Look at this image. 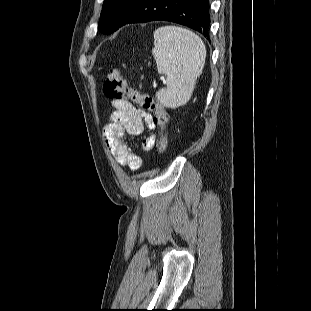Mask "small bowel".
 I'll list each match as a JSON object with an SVG mask.
<instances>
[{
    "instance_id": "c3829d8e",
    "label": "small bowel",
    "mask_w": 311,
    "mask_h": 311,
    "mask_svg": "<svg viewBox=\"0 0 311 311\" xmlns=\"http://www.w3.org/2000/svg\"><path fill=\"white\" fill-rule=\"evenodd\" d=\"M114 111L110 115L109 122L105 126L104 137L107 146L121 166H127L136 171L142 165V159L134 153L126 144L125 135H140L145 128L153 130L156 123L153 117L146 112L137 109L132 103L125 100H113ZM155 135H149L142 141V150L148 152L155 142Z\"/></svg>"
}]
</instances>
